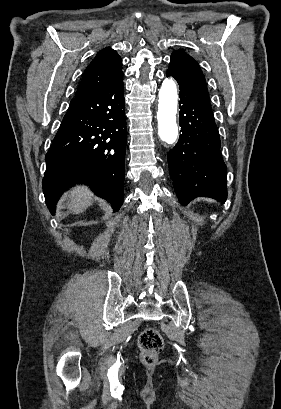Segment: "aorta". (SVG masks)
I'll return each instance as SVG.
<instances>
[{
    "instance_id": "obj_1",
    "label": "aorta",
    "mask_w": 281,
    "mask_h": 409,
    "mask_svg": "<svg viewBox=\"0 0 281 409\" xmlns=\"http://www.w3.org/2000/svg\"><path fill=\"white\" fill-rule=\"evenodd\" d=\"M158 100V132L161 140L173 144L178 137L176 123L177 87L173 79H165L159 91Z\"/></svg>"
}]
</instances>
